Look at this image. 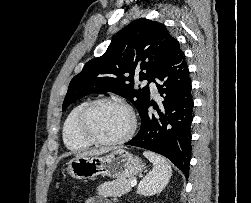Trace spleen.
<instances>
[{"mask_svg":"<svg viewBox=\"0 0 251 203\" xmlns=\"http://www.w3.org/2000/svg\"><path fill=\"white\" fill-rule=\"evenodd\" d=\"M143 155L153 163V169L141 180L137 193L143 196H153L166 187L172 175V169L168 161L156 153L144 151Z\"/></svg>","mask_w":251,"mask_h":203,"instance_id":"spleen-1","label":"spleen"}]
</instances>
